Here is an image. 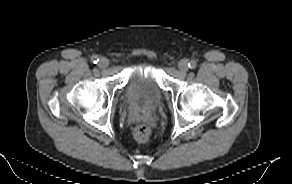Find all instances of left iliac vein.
<instances>
[{"instance_id": "1", "label": "left iliac vein", "mask_w": 292, "mask_h": 184, "mask_svg": "<svg viewBox=\"0 0 292 184\" xmlns=\"http://www.w3.org/2000/svg\"><path fill=\"white\" fill-rule=\"evenodd\" d=\"M178 68L182 73L187 72V70H188V60H186V59L180 60L179 63H178Z\"/></svg>"}]
</instances>
